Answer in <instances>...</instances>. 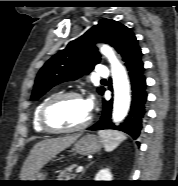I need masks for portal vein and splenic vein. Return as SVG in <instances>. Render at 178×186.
I'll use <instances>...</instances> for the list:
<instances>
[{"label": "portal vein and splenic vein", "mask_w": 178, "mask_h": 186, "mask_svg": "<svg viewBox=\"0 0 178 186\" xmlns=\"http://www.w3.org/2000/svg\"><path fill=\"white\" fill-rule=\"evenodd\" d=\"M83 171V167L82 166H79L77 169H76V172L77 173H80V172H82Z\"/></svg>", "instance_id": "1"}]
</instances>
